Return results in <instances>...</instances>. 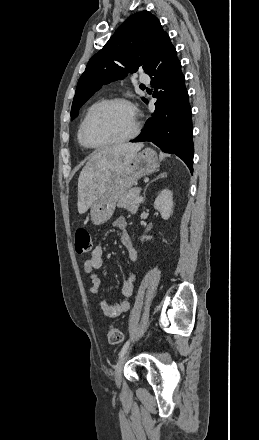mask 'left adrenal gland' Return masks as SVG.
Here are the masks:
<instances>
[{
  "mask_svg": "<svg viewBox=\"0 0 259 440\" xmlns=\"http://www.w3.org/2000/svg\"><path fill=\"white\" fill-rule=\"evenodd\" d=\"M166 176H167V173H165V172L160 173V174H159L155 179H153L150 183H152V182H154V181H156V180H158V179H160V178L166 177ZM150 183H148V184L146 185L145 189H144V193H143V195H144V199H145V192H146V189H147V187L149 186ZM143 202H144V200H143Z\"/></svg>",
  "mask_w": 259,
  "mask_h": 440,
  "instance_id": "obj_1",
  "label": "left adrenal gland"
}]
</instances>
